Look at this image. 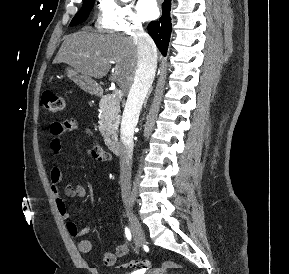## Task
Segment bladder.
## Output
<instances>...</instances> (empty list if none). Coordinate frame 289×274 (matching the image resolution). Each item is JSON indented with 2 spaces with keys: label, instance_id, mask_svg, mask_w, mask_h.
I'll return each mask as SVG.
<instances>
[{
  "label": "bladder",
  "instance_id": "obj_1",
  "mask_svg": "<svg viewBox=\"0 0 289 274\" xmlns=\"http://www.w3.org/2000/svg\"><path fill=\"white\" fill-rule=\"evenodd\" d=\"M124 274H143V273H141L139 271H134V272L124 273Z\"/></svg>",
  "mask_w": 289,
  "mask_h": 274
}]
</instances>
